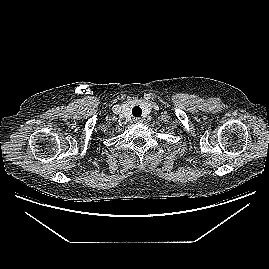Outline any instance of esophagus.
Listing matches in <instances>:
<instances>
[{"instance_id":"34e87169","label":"esophagus","mask_w":269,"mask_h":269,"mask_svg":"<svg viewBox=\"0 0 269 269\" xmlns=\"http://www.w3.org/2000/svg\"><path fill=\"white\" fill-rule=\"evenodd\" d=\"M134 122H135V123H142V122H143V119L140 118V117H135V118H134Z\"/></svg>"}]
</instances>
